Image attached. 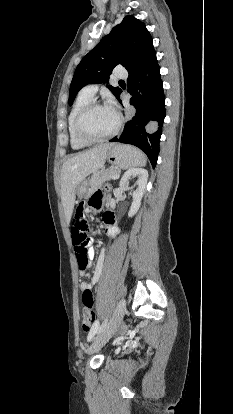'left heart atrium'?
<instances>
[{"instance_id": "39dd6f15", "label": "left heart atrium", "mask_w": 233, "mask_h": 414, "mask_svg": "<svg viewBox=\"0 0 233 414\" xmlns=\"http://www.w3.org/2000/svg\"><path fill=\"white\" fill-rule=\"evenodd\" d=\"M107 108H109L111 111H113L115 113L117 112L116 111V105H115L114 101H109L108 104H107Z\"/></svg>"}]
</instances>
